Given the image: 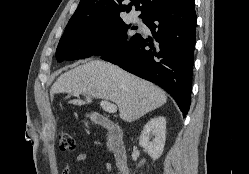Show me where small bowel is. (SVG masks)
<instances>
[{
    "instance_id": "c3829d8e",
    "label": "small bowel",
    "mask_w": 249,
    "mask_h": 174,
    "mask_svg": "<svg viewBox=\"0 0 249 174\" xmlns=\"http://www.w3.org/2000/svg\"><path fill=\"white\" fill-rule=\"evenodd\" d=\"M85 160H86V154H84V153L78 154L75 158L76 163H81ZM97 160L105 166L107 172L111 171V164L109 162H107L106 160H103V159H97ZM71 172H72L71 165L69 163H67L62 170V174H71Z\"/></svg>"
}]
</instances>
